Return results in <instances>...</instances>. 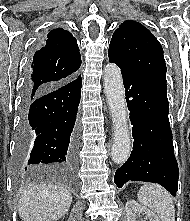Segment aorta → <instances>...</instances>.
Returning a JSON list of instances; mask_svg holds the SVG:
<instances>
[{"mask_svg":"<svg viewBox=\"0 0 190 221\" xmlns=\"http://www.w3.org/2000/svg\"><path fill=\"white\" fill-rule=\"evenodd\" d=\"M103 80L114 128L111 156L115 163L122 164L129 158L131 140L120 69L115 64L108 63L103 71Z\"/></svg>","mask_w":190,"mask_h":221,"instance_id":"obj_1","label":"aorta"}]
</instances>
